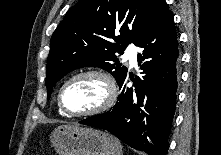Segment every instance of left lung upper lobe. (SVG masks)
<instances>
[{"label": "left lung upper lobe", "mask_w": 221, "mask_h": 155, "mask_svg": "<svg viewBox=\"0 0 221 155\" xmlns=\"http://www.w3.org/2000/svg\"><path fill=\"white\" fill-rule=\"evenodd\" d=\"M163 3L165 0H79L51 38L47 99L58 80L85 66L110 72L119 84L127 68L115 54H122L129 43L136 45Z\"/></svg>", "instance_id": "5c2ea615"}]
</instances>
